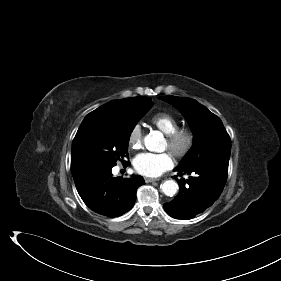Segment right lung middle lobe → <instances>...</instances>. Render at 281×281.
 Listing matches in <instances>:
<instances>
[{"mask_svg": "<svg viewBox=\"0 0 281 281\" xmlns=\"http://www.w3.org/2000/svg\"><path fill=\"white\" fill-rule=\"evenodd\" d=\"M143 100L124 115L107 119H90L77 131L72 144L74 166L79 170L100 165L114 166L128 155L131 132L139 119L152 107Z\"/></svg>", "mask_w": 281, "mask_h": 281, "instance_id": "right-lung-middle-lobe-1", "label": "right lung middle lobe"}]
</instances>
